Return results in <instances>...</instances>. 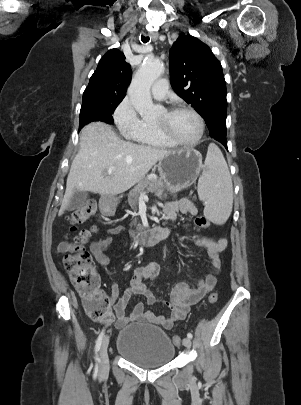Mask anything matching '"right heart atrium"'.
Wrapping results in <instances>:
<instances>
[{"label": "right heart atrium", "mask_w": 301, "mask_h": 405, "mask_svg": "<svg viewBox=\"0 0 301 405\" xmlns=\"http://www.w3.org/2000/svg\"><path fill=\"white\" fill-rule=\"evenodd\" d=\"M113 118L120 132L126 136L133 134L143 123L128 98H124L118 104L114 110Z\"/></svg>", "instance_id": "right-heart-atrium-1"}]
</instances>
